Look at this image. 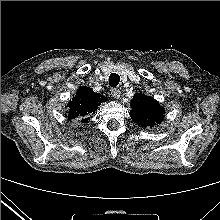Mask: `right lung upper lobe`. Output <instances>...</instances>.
Segmentation results:
<instances>
[{"label":"right lung upper lobe","instance_id":"1","mask_svg":"<svg viewBox=\"0 0 220 220\" xmlns=\"http://www.w3.org/2000/svg\"><path fill=\"white\" fill-rule=\"evenodd\" d=\"M105 100L104 96L94 93L91 88L80 87L68 104V119L79 118L82 122L87 123L90 116L97 110V107Z\"/></svg>","mask_w":220,"mask_h":220}]
</instances>
